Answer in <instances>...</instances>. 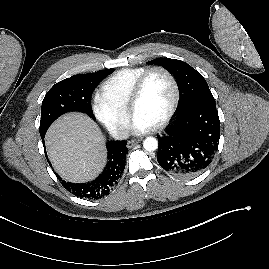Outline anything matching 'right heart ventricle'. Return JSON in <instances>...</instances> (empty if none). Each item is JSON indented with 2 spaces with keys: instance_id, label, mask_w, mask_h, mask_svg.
I'll return each mask as SVG.
<instances>
[{
  "instance_id": "obj_1",
  "label": "right heart ventricle",
  "mask_w": 269,
  "mask_h": 269,
  "mask_svg": "<svg viewBox=\"0 0 269 269\" xmlns=\"http://www.w3.org/2000/svg\"><path fill=\"white\" fill-rule=\"evenodd\" d=\"M147 69L129 67L115 72L102 84L101 93L114 105L127 110L135 83Z\"/></svg>"
}]
</instances>
